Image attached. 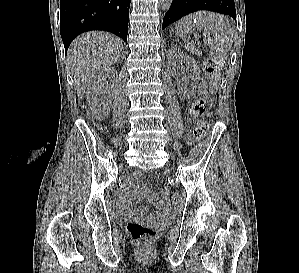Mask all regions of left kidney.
<instances>
[{
    "label": "left kidney",
    "instance_id": "obj_1",
    "mask_svg": "<svg viewBox=\"0 0 299 273\" xmlns=\"http://www.w3.org/2000/svg\"><path fill=\"white\" fill-rule=\"evenodd\" d=\"M180 59L186 62L187 71L192 73V81L189 87L184 86L183 83H181V81L178 80L180 74L176 69V62ZM168 67L170 69L171 75L177 78V87L181 96L184 98H189L191 95H193L196 91L197 84L200 80V69L196 64V61L188 55L184 54L182 51H180V49L171 47L168 52Z\"/></svg>",
    "mask_w": 299,
    "mask_h": 273
}]
</instances>
